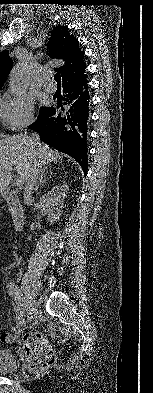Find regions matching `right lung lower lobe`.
Segmentation results:
<instances>
[{
	"label": "right lung lower lobe",
	"instance_id": "obj_1",
	"mask_svg": "<svg viewBox=\"0 0 153 393\" xmlns=\"http://www.w3.org/2000/svg\"><path fill=\"white\" fill-rule=\"evenodd\" d=\"M88 81L84 72L70 74L63 79V92L57 105L48 107L30 126L40 134L41 147L51 154H66L73 158L84 173L87 172Z\"/></svg>",
	"mask_w": 153,
	"mask_h": 393
}]
</instances>
